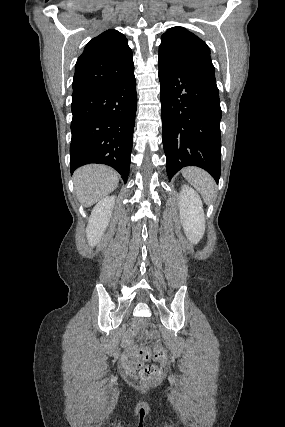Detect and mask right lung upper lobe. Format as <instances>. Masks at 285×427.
Listing matches in <instances>:
<instances>
[{
	"label": "right lung upper lobe",
	"mask_w": 285,
	"mask_h": 427,
	"mask_svg": "<svg viewBox=\"0 0 285 427\" xmlns=\"http://www.w3.org/2000/svg\"><path fill=\"white\" fill-rule=\"evenodd\" d=\"M133 73L132 50L126 37L117 30H107L93 38L78 58L72 96L124 81Z\"/></svg>",
	"instance_id": "obj_1"
}]
</instances>
